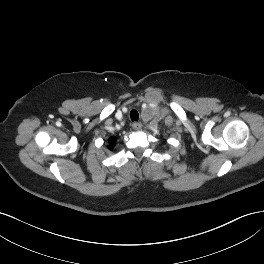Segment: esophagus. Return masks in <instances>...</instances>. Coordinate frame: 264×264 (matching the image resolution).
Instances as JSON below:
<instances>
[{"label":"esophagus","instance_id":"34e87169","mask_svg":"<svg viewBox=\"0 0 264 264\" xmlns=\"http://www.w3.org/2000/svg\"><path fill=\"white\" fill-rule=\"evenodd\" d=\"M132 127H133L134 130L139 131V130H141V128H142V124L139 123V122H134V123L132 124Z\"/></svg>","mask_w":264,"mask_h":264}]
</instances>
